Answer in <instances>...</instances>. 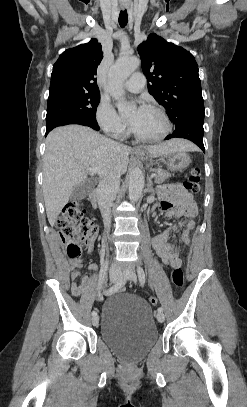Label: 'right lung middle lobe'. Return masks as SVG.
<instances>
[{
	"label": "right lung middle lobe",
	"instance_id": "dd1d6c3e",
	"mask_svg": "<svg viewBox=\"0 0 247 407\" xmlns=\"http://www.w3.org/2000/svg\"><path fill=\"white\" fill-rule=\"evenodd\" d=\"M99 92L63 90L48 97L46 124L62 118H79L96 123Z\"/></svg>",
	"mask_w": 247,
	"mask_h": 407
}]
</instances>
